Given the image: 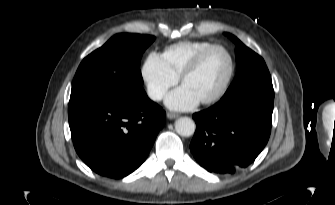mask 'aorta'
Instances as JSON below:
<instances>
[{"mask_svg": "<svg viewBox=\"0 0 335 205\" xmlns=\"http://www.w3.org/2000/svg\"><path fill=\"white\" fill-rule=\"evenodd\" d=\"M195 123L189 117H181L175 122V130L176 132L184 137H189L195 132Z\"/></svg>", "mask_w": 335, "mask_h": 205, "instance_id": "aorta-1", "label": "aorta"}]
</instances>
